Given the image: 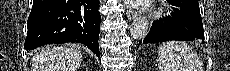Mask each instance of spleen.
<instances>
[{
  "label": "spleen",
  "instance_id": "spleen-1",
  "mask_svg": "<svg viewBox=\"0 0 230 71\" xmlns=\"http://www.w3.org/2000/svg\"><path fill=\"white\" fill-rule=\"evenodd\" d=\"M158 67L160 71H202L200 58L184 42L170 41L158 49Z\"/></svg>",
  "mask_w": 230,
  "mask_h": 71
}]
</instances>
